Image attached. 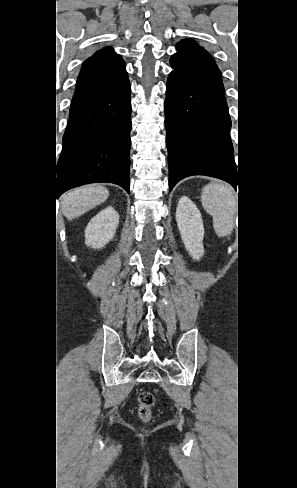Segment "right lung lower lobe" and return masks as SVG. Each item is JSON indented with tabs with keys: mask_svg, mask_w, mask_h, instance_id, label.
<instances>
[{
	"mask_svg": "<svg viewBox=\"0 0 297 488\" xmlns=\"http://www.w3.org/2000/svg\"><path fill=\"white\" fill-rule=\"evenodd\" d=\"M130 92L126 74L70 108L58 162L57 197L95 182L114 183L129 193Z\"/></svg>",
	"mask_w": 297,
	"mask_h": 488,
	"instance_id": "right-lung-lower-lobe-1",
	"label": "right lung lower lobe"
}]
</instances>
